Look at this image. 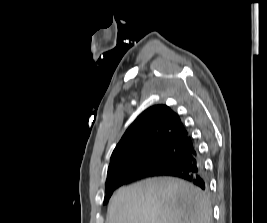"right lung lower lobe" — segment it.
<instances>
[{"label":"right lung lower lobe","instance_id":"98d812e1","mask_svg":"<svg viewBox=\"0 0 267 223\" xmlns=\"http://www.w3.org/2000/svg\"><path fill=\"white\" fill-rule=\"evenodd\" d=\"M153 176H172L184 179L200 187L206 188V180L204 176V167L200 154L194 143L191 147L185 150L184 154L175 161V163L163 173H152L141 170H133L121 173L107 179L106 193H113V191L121 185L127 184L131 181L143 179Z\"/></svg>","mask_w":267,"mask_h":223}]
</instances>
